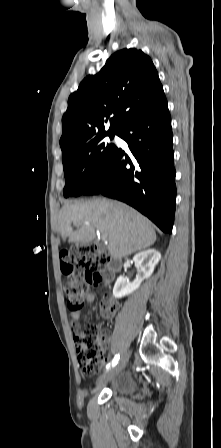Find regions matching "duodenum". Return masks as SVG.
<instances>
[{
	"label": "duodenum",
	"instance_id": "410a0bca",
	"mask_svg": "<svg viewBox=\"0 0 221 448\" xmlns=\"http://www.w3.org/2000/svg\"><path fill=\"white\" fill-rule=\"evenodd\" d=\"M121 260L116 257H112L110 260L109 271L111 275H115L121 269Z\"/></svg>",
	"mask_w": 221,
	"mask_h": 448
}]
</instances>
